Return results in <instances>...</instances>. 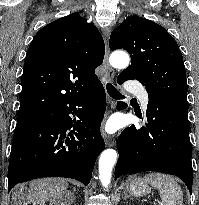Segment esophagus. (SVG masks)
<instances>
[{
	"mask_svg": "<svg viewBox=\"0 0 199 205\" xmlns=\"http://www.w3.org/2000/svg\"><path fill=\"white\" fill-rule=\"evenodd\" d=\"M109 35H110V30L106 28L103 32L105 46H106V51H105V56H104V61H103L104 77H105L106 83H112L114 79V75H115V72L113 68L110 66L109 61H108L109 54H110V50L108 46ZM109 103L110 105L113 104L112 99H109ZM106 145L109 147H114L116 145V142L113 138H109L106 141Z\"/></svg>",
	"mask_w": 199,
	"mask_h": 205,
	"instance_id": "34e87169",
	"label": "esophagus"
}]
</instances>
